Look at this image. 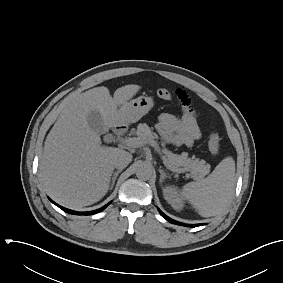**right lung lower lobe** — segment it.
I'll use <instances>...</instances> for the list:
<instances>
[{
	"instance_id": "obj_1",
	"label": "right lung lower lobe",
	"mask_w": 283,
	"mask_h": 283,
	"mask_svg": "<svg viewBox=\"0 0 283 283\" xmlns=\"http://www.w3.org/2000/svg\"><path fill=\"white\" fill-rule=\"evenodd\" d=\"M53 202V201H52ZM55 205H57L59 208H61L63 211L70 213V214H75V215H92V214H96L102 210H104L110 203H108L107 205L103 206L102 208L98 209V210H94V211H89V212H76V211H72L70 209L64 208L62 206H59L58 204H56L55 202H53Z\"/></svg>"
}]
</instances>
